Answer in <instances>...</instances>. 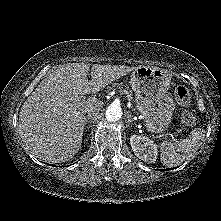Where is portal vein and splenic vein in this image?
Listing matches in <instances>:
<instances>
[{"label":"portal vein and splenic vein","mask_w":221,"mask_h":221,"mask_svg":"<svg viewBox=\"0 0 221 221\" xmlns=\"http://www.w3.org/2000/svg\"><path fill=\"white\" fill-rule=\"evenodd\" d=\"M169 135L172 137V139H174L173 136H172L171 134H169Z\"/></svg>","instance_id":"obj_1"}]
</instances>
